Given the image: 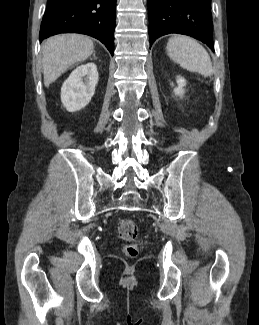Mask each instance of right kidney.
Masks as SVG:
<instances>
[{"mask_svg": "<svg viewBox=\"0 0 259 325\" xmlns=\"http://www.w3.org/2000/svg\"><path fill=\"white\" fill-rule=\"evenodd\" d=\"M98 83L95 63H86L72 71L61 88V101L69 112L79 111L89 104Z\"/></svg>", "mask_w": 259, "mask_h": 325, "instance_id": "right-kidney-1", "label": "right kidney"}]
</instances>
